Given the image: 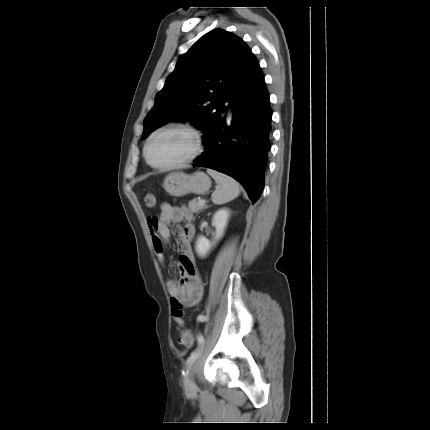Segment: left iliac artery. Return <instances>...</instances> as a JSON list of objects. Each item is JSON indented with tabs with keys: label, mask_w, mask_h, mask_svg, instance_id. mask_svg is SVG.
<instances>
[{
	"label": "left iliac artery",
	"mask_w": 430,
	"mask_h": 430,
	"mask_svg": "<svg viewBox=\"0 0 430 430\" xmlns=\"http://www.w3.org/2000/svg\"><path fill=\"white\" fill-rule=\"evenodd\" d=\"M199 319L201 321H204V320H206V317L202 316ZM203 345H204V337H203V335H199V337H198V347L194 351H192V353L188 357V359H187V365L192 364L197 359V357L199 356V353H200L201 348H202ZM183 374H185L184 371H183Z\"/></svg>",
	"instance_id": "1"
}]
</instances>
